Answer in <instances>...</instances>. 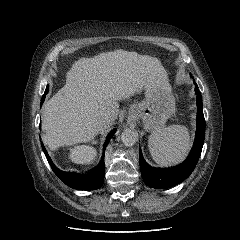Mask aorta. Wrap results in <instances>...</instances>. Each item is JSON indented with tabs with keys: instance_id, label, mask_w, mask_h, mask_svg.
Returning <instances> with one entry per match:
<instances>
[{
	"instance_id": "762f6f07",
	"label": "aorta",
	"mask_w": 240,
	"mask_h": 240,
	"mask_svg": "<svg viewBox=\"0 0 240 240\" xmlns=\"http://www.w3.org/2000/svg\"><path fill=\"white\" fill-rule=\"evenodd\" d=\"M138 132L134 128H127L121 134V140L127 147L133 146L138 140Z\"/></svg>"
}]
</instances>
